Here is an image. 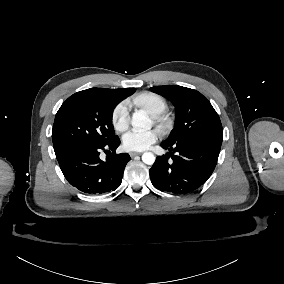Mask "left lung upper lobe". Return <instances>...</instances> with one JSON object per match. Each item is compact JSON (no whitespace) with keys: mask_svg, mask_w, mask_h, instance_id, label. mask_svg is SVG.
Wrapping results in <instances>:
<instances>
[{"mask_svg":"<svg viewBox=\"0 0 284 284\" xmlns=\"http://www.w3.org/2000/svg\"><path fill=\"white\" fill-rule=\"evenodd\" d=\"M150 90L170 100L175 106L176 122L166 142L200 140L221 146L223 130L220 118L200 92L175 85L154 86Z\"/></svg>","mask_w":284,"mask_h":284,"instance_id":"obj_1","label":"left lung upper lobe"}]
</instances>
